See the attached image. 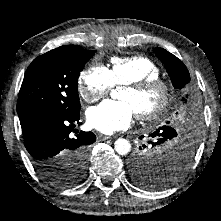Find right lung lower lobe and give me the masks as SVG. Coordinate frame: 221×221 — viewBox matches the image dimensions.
Returning <instances> with one entry per match:
<instances>
[{
    "mask_svg": "<svg viewBox=\"0 0 221 221\" xmlns=\"http://www.w3.org/2000/svg\"><path fill=\"white\" fill-rule=\"evenodd\" d=\"M80 112V111H79ZM79 112L67 114L52 109H38L19 117L25 147L36 170L41 173L59 164L66 153L89 147L96 140L92 132L81 131L75 137Z\"/></svg>",
    "mask_w": 221,
    "mask_h": 221,
    "instance_id": "obj_1",
    "label": "right lung lower lobe"
}]
</instances>
